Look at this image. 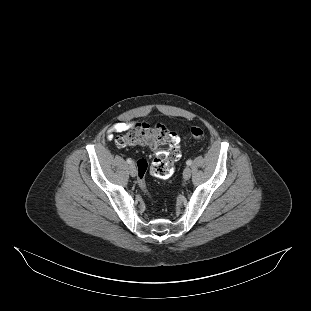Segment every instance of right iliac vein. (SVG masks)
Masks as SVG:
<instances>
[{
  "label": "right iliac vein",
  "mask_w": 311,
  "mask_h": 311,
  "mask_svg": "<svg viewBox=\"0 0 311 311\" xmlns=\"http://www.w3.org/2000/svg\"><path fill=\"white\" fill-rule=\"evenodd\" d=\"M129 173H130V175H131L132 177H135V176H136L137 171H136V167H135L134 164H131V165L129 166Z\"/></svg>",
  "instance_id": "right-iliac-vein-1"
}]
</instances>
